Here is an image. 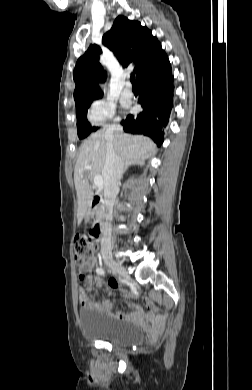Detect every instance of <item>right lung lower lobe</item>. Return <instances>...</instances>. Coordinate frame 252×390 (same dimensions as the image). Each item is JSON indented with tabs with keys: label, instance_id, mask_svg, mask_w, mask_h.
<instances>
[{
	"label": "right lung lower lobe",
	"instance_id": "98d812e1",
	"mask_svg": "<svg viewBox=\"0 0 252 390\" xmlns=\"http://www.w3.org/2000/svg\"><path fill=\"white\" fill-rule=\"evenodd\" d=\"M138 83L143 111L136 116L128 115L122 121L123 128L126 132L149 136L160 146L173 108L171 65L158 73L143 76Z\"/></svg>",
	"mask_w": 252,
	"mask_h": 390
}]
</instances>
